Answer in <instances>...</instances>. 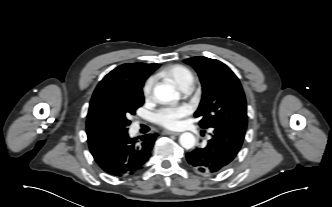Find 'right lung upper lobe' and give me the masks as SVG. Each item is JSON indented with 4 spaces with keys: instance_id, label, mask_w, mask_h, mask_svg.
Returning <instances> with one entry per match:
<instances>
[{
    "instance_id": "right-lung-upper-lobe-1",
    "label": "right lung upper lobe",
    "mask_w": 332,
    "mask_h": 207,
    "mask_svg": "<svg viewBox=\"0 0 332 207\" xmlns=\"http://www.w3.org/2000/svg\"><path fill=\"white\" fill-rule=\"evenodd\" d=\"M159 66V64L155 63H129L118 66L100 81L93 93L91 101L95 100L99 95L109 91L111 88L121 84L143 85L148 76ZM95 136L96 135L88 134V139Z\"/></svg>"
}]
</instances>
